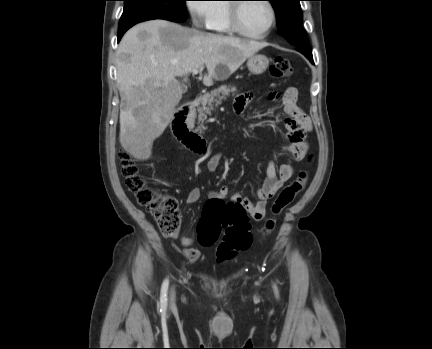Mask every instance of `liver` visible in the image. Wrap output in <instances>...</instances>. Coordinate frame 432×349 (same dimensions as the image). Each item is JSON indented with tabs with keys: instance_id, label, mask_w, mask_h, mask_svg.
<instances>
[{
	"instance_id": "liver-1",
	"label": "liver",
	"mask_w": 432,
	"mask_h": 349,
	"mask_svg": "<svg viewBox=\"0 0 432 349\" xmlns=\"http://www.w3.org/2000/svg\"><path fill=\"white\" fill-rule=\"evenodd\" d=\"M266 46L166 20H150L129 29L117 49L122 147L136 159L150 157L154 140L164 132L182 98L176 76L205 65L208 73L203 84L211 86L218 78V65L230 75Z\"/></svg>"
}]
</instances>
